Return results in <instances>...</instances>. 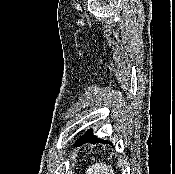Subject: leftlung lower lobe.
Instances as JSON below:
<instances>
[{"label":"left lung lower lobe","instance_id":"1","mask_svg":"<svg viewBox=\"0 0 175 174\" xmlns=\"http://www.w3.org/2000/svg\"><path fill=\"white\" fill-rule=\"evenodd\" d=\"M91 141L92 143H98V142H104L103 140H100L96 136H93L92 130H88L79 140H77V145H80L84 142ZM107 143V142H106Z\"/></svg>","mask_w":175,"mask_h":174}]
</instances>
